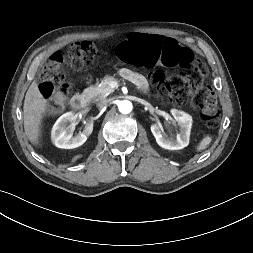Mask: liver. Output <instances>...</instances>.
Masks as SVG:
<instances>
[{
	"label": "liver",
	"mask_w": 253,
	"mask_h": 253,
	"mask_svg": "<svg viewBox=\"0 0 253 253\" xmlns=\"http://www.w3.org/2000/svg\"><path fill=\"white\" fill-rule=\"evenodd\" d=\"M46 109V99L41 94L38 83L33 81L26 92L23 117L25 134L36 145L40 135L42 115Z\"/></svg>",
	"instance_id": "obj_1"
}]
</instances>
